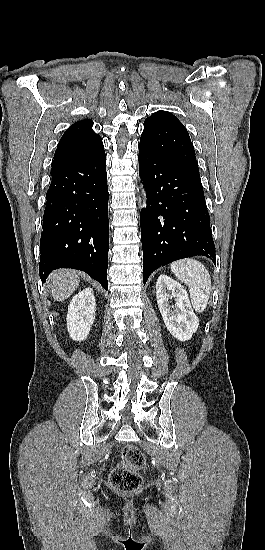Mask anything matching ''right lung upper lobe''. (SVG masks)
Masks as SVG:
<instances>
[{"label":"right lung upper lobe","mask_w":265,"mask_h":550,"mask_svg":"<svg viewBox=\"0 0 265 550\" xmlns=\"http://www.w3.org/2000/svg\"><path fill=\"white\" fill-rule=\"evenodd\" d=\"M93 122L85 119L74 123L63 134L54 154L52 166L92 156L104 150L101 137L91 128Z\"/></svg>","instance_id":"obj_1"}]
</instances>
